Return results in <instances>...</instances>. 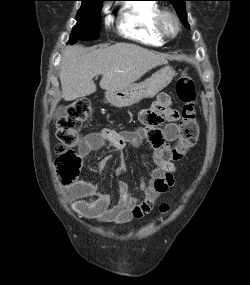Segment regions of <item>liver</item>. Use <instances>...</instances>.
Listing matches in <instances>:
<instances>
[{"label":"liver","mask_w":250,"mask_h":285,"mask_svg":"<svg viewBox=\"0 0 250 285\" xmlns=\"http://www.w3.org/2000/svg\"><path fill=\"white\" fill-rule=\"evenodd\" d=\"M166 63L165 55L135 44L117 43L93 50L81 45L69 46L63 51L59 71L62 97L73 101L93 94L96 75H102V89L118 90L133 84L152 68Z\"/></svg>","instance_id":"1"}]
</instances>
